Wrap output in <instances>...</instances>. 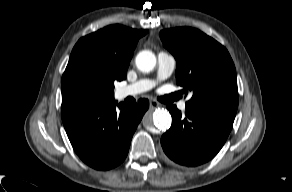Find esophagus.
<instances>
[{
    "mask_svg": "<svg viewBox=\"0 0 292 192\" xmlns=\"http://www.w3.org/2000/svg\"><path fill=\"white\" fill-rule=\"evenodd\" d=\"M159 106H160V103L159 102H157L155 100L150 101V108L151 109H155V108H157Z\"/></svg>",
    "mask_w": 292,
    "mask_h": 192,
    "instance_id": "34e87169",
    "label": "esophagus"
}]
</instances>
